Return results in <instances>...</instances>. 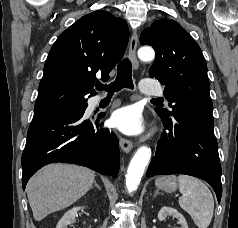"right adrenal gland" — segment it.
Listing matches in <instances>:
<instances>
[{
	"label": "right adrenal gland",
	"instance_id": "right-adrenal-gland-1",
	"mask_svg": "<svg viewBox=\"0 0 238 228\" xmlns=\"http://www.w3.org/2000/svg\"><path fill=\"white\" fill-rule=\"evenodd\" d=\"M94 186L97 187L99 190H101V187L97 184V182H94Z\"/></svg>",
	"mask_w": 238,
	"mask_h": 228
}]
</instances>
